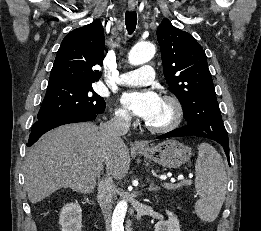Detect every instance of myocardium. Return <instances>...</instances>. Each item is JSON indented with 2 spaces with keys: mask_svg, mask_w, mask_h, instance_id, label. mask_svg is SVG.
Masks as SVG:
<instances>
[{
  "mask_svg": "<svg viewBox=\"0 0 261 231\" xmlns=\"http://www.w3.org/2000/svg\"><path fill=\"white\" fill-rule=\"evenodd\" d=\"M161 100L167 102L172 107V120L168 124L163 126H155L150 124L149 122H146L145 125L146 128L151 132L164 134L172 132L180 126L183 120L184 110L180 100L173 95H163Z\"/></svg>",
  "mask_w": 261,
  "mask_h": 231,
  "instance_id": "1",
  "label": "myocardium"
}]
</instances>
